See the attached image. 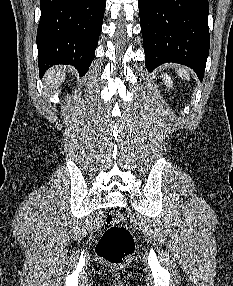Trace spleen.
I'll return each instance as SVG.
<instances>
[{"mask_svg":"<svg viewBox=\"0 0 233 286\" xmlns=\"http://www.w3.org/2000/svg\"><path fill=\"white\" fill-rule=\"evenodd\" d=\"M177 72L182 78H185L188 81L190 80V75H189L188 69L181 67V66H178Z\"/></svg>","mask_w":233,"mask_h":286,"instance_id":"3e777b00","label":"spleen"}]
</instances>
